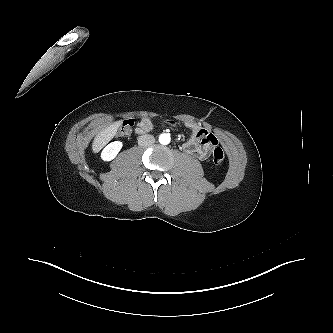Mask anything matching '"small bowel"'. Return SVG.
<instances>
[{"label": "small bowel", "mask_w": 333, "mask_h": 333, "mask_svg": "<svg viewBox=\"0 0 333 333\" xmlns=\"http://www.w3.org/2000/svg\"><path fill=\"white\" fill-rule=\"evenodd\" d=\"M192 131L191 138L183 144V149L199 160H206L210 156L211 149L218 145V140L211 132L201 129L196 125L189 124ZM152 129V122L144 118L137 126V134H146Z\"/></svg>", "instance_id": "1"}]
</instances>
